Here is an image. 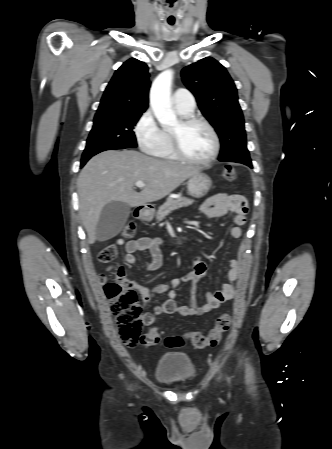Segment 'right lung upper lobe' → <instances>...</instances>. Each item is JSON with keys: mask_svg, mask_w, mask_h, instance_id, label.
<instances>
[{"mask_svg": "<svg viewBox=\"0 0 332 449\" xmlns=\"http://www.w3.org/2000/svg\"><path fill=\"white\" fill-rule=\"evenodd\" d=\"M149 88L147 65L134 58L127 60L106 87L96 115L143 113L148 107Z\"/></svg>", "mask_w": 332, "mask_h": 449, "instance_id": "obj_1", "label": "right lung upper lobe"}]
</instances>
